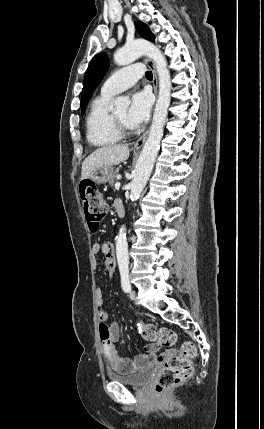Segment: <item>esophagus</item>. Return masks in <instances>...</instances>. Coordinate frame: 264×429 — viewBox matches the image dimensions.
Returning a JSON list of instances; mask_svg holds the SVG:
<instances>
[{"mask_svg": "<svg viewBox=\"0 0 264 429\" xmlns=\"http://www.w3.org/2000/svg\"><path fill=\"white\" fill-rule=\"evenodd\" d=\"M145 63L151 68L152 73H153V88H154V93L157 95L158 92V81H157V74H156V69H155V65L153 63L152 60L145 58L144 59ZM147 134L148 131H146L136 142L133 143V148L139 149L143 146L146 138H147Z\"/></svg>", "mask_w": 264, "mask_h": 429, "instance_id": "obj_1", "label": "esophagus"}]
</instances>
